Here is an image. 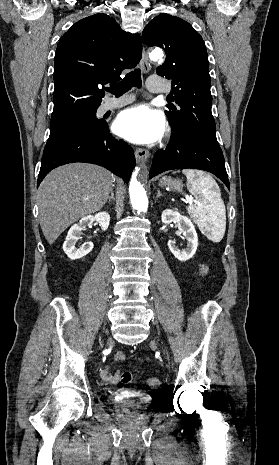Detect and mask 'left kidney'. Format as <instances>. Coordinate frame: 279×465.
Returning <instances> with one entry per match:
<instances>
[{
  "label": "left kidney",
  "mask_w": 279,
  "mask_h": 465,
  "mask_svg": "<svg viewBox=\"0 0 279 465\" xmlns=\"http://www.w3.org/2000/svg\"><path fill=\"white\" fill-rule=\"evenodd\" d=\"M161 220L164 224H170L172 222L176 223L179 230L182 231L183 235L187 239V247L184 250H180L175 245V241H168L169 250L175 258L181 262H185L192 258L198 247V236L191 220L171 209H167L162 212Z\"/></svg>",
  "instance_id": "5707ae66"
}]
</instances>
